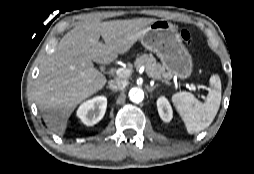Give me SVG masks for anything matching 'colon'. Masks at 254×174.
I'll list each match as a JSON object with an SVG mask.
<instances>
[{
	"label": "colon",
	"mask_w": 254,
	"mask_h": 174,
	"mask_svg": "<svg viewBox=\"0 0 254 174\" xmlns=\"http://www.w3.org/2000/svg\"><path fill=\"white\" fill-rule=\"evenodd\" d=\"M181 38L185 43L187 44L191 43V35L188 31L186 30L181 31Z\"/></svg>",
	"instance_id": "1"
}]
</instances>
